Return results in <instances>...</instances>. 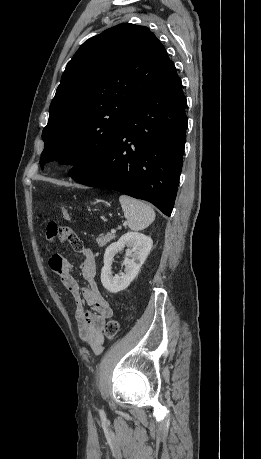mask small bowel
<instances>
[{"label":"small bowel","instance_id":"small-bowel-1","mask_svg":"<svg viewBox=\"0 0 261 459\" xmlns=\"http://www.w3.org/2000/svg\"><path fill=\"white\" fill-rule=\"evenodd\" d=\"M46 238L49 241L55 239L66 241L81 255V276L86 281V285H80L75 276L74 265L60 253L51 256L49 266L59 276L61 283L74 299L75 319L81 339L95 355H99L103 351V328L106 320L113 316V310L95 282L94 254L83 246L80 238L68 227L54 226L49 223Z\"/></svg>","mask_w":261,"mask_h":459}]
</instances>
